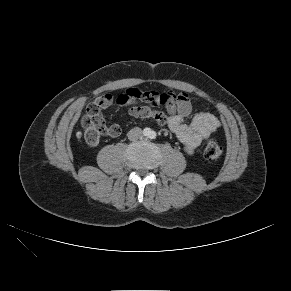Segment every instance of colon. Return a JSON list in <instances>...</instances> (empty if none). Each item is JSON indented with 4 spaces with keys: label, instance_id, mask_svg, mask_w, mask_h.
I'll use <instances>...</instances> for the list:
<instances>
[{
    "label": "colon",
    "instance_id": "colon-1",
    "mask_svg": "<svg viewBox=\"0 0 291 291\" xmlns=\"http://www.w3.org/2000/svg\"><path fill=\"white\" fill-rule=\"evenodd\" d=\"M170 97L167 94H160L155 98L150 97L147 100V103L150 106L155 105L157 108L166 109L170 105ZM113 105L118 110H123L128 105V100L125 95H118L113 100ZM82 125L85 129L84 138L89 145H96L99 142L101 135L106 134H116L118 131L111 125H106L103 118L99 115L96 104L93 102L88 105L86 114L82 118ZM223 152V147L221 143L214 139L210 138L206 141L204 145V156L209 161L218 160Z\"/></svg>",
    "mask_w": 291,
    "mask_h": 291
}]
</instances>
